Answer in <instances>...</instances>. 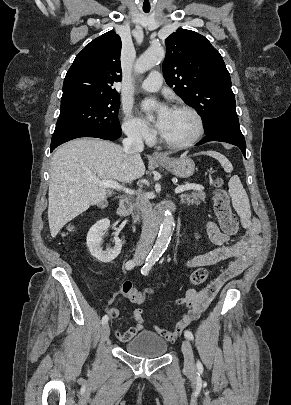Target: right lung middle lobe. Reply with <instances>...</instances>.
<instances>
[{"mask_svg":"<svg viewBox=\"0 0 291 405\" xmlns=\"http://www.w3.org/2000/svg\"><path fill=\"white\" fill-rule=\"evenodd\" d=\"M119 106V96L62 101L51 145L81 134L121 132Z\"/></svg>","mask_w":291,"mask_h":405,"instance_id":"1","label":"right lung middle lobe"}]
</instances>
